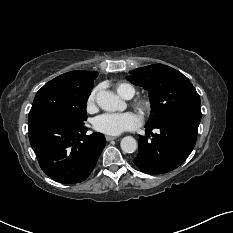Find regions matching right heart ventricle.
<instances>
[{"label": "right heart ventricle", "instance_id": "1", "mask_svg": "<svg viewBox=\"0 0 233 233\" xmlns=\"http://www.w3.org/2000/svg\"><path fill=\"white\" fill-rule=\"evenodd\" d=\"M116 91L121 97L128 99L134 96L136 89L133 85L123 82L116 85Z\"/></svg>", "mask_w": 233, "mask_h": 233}]
</instances>
